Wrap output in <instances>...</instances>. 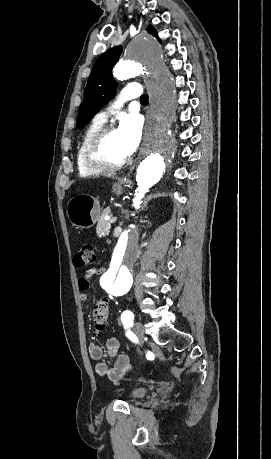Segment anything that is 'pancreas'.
Here are the masks:
<instances>
[{
  "label": "pancreas",
  "instance_id": "obj_1",
  "mask_svg": "<svg viewBox=\"0 0 271 459\" xmlns=\"http://www.w3.org/2000/svg\"><path fill=\"white\" fill-rule=\"evenodd\" d=\"M104 216H108V214H104ZM104 216H100V220H98V224H97V233H100V235H107V233H109L110 231V220H112V218H110V220H104Z\"/></svg>",
  "mask_w": 271,
  "mask_h": 459
}]
</instances>
